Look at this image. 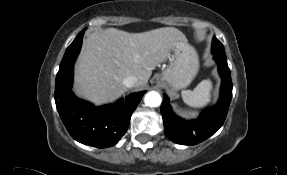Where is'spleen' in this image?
I'll list each match as a JSON object with an SVG mask.
<instances>
[{
  "label": "spleen",
  "mask_w": 287,
  "mask_h": 175,
  "mask_svg": "<svg viewBox=\"0 0 287 175\" xmlns=\"http://www.w3.org/2000/svg\"><path fill=\"white\" fill-rule=\"evenodd\" d=\"M212 82L210 79L201 81L194 90H183L182 99L193 108L205 107L211 101Z\"/></svg>",
  "instance_id": "spleen-1"
}]
</instances>
